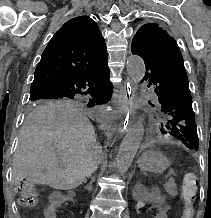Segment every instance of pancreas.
<instances>
[{
  "mask_svg": "<svg viewBox=\"0 0 211 218\" xmlns=\"http://www.w3.org/2000/svg\"><path fill=\"white\" fill-rule=\"evenodd\" d=\"M167 194L170 196H177V192H175L176 184H174V180H169L166 184H163Z\"/></svg>",
  "mask_w": 211,
  "mask_h": 218,
  "instance_id": "cf45deb5",
  "label": "pancreas"
}]
</instances>
